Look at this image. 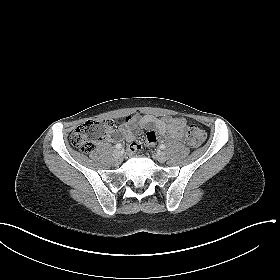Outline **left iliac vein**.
<instances>
[{
  "instance_id": "left-iliac-vein-1",
  "label": "left iliac vein",
  "mask_w": 280,
  "mask_h": 280,
  "mask_svg": "<svg viewBox=\"0 0 280 280\" xmlns=\"http://www.w3.org/2000/svg\"><path fill=\"white\" fill-rule=\"evenodd\" d=\"M154 158L160 163H164L167 159L165 153H163V152L156 153L154 155Z\"/></svg>"
}]
</instances>
